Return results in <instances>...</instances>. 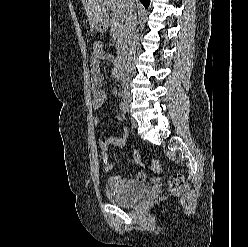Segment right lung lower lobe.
Here are the masks:
<instances>
[{"mask_svg": "<svg viewBox=\"0 0 248 247\" xmlns=\"http://www.w3.org/2000/svg\"><path fill=\"white\" fill-rule=\"evenodd\" d=\"M140 1L145 7L149 6L150 0H140Z\"/></svg>", "mask_w": 248, "mask_h": 247, "instance_id": "obj_1", "label": "right lung lower lobe"}]
</instances>
